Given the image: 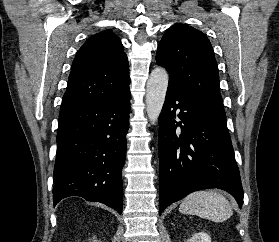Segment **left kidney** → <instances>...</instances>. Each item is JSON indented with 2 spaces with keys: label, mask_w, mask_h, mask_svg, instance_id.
Listing matches in <instances>:
<instances>
[{
  "label": "left kidney",
  "mask_w": 279,
  "mask_h": 242,
  "mask_svg": "<svg viewBox=\"0 0 279 242\" xmlns=\"http://www.w3.org/2000/svg\"><path fill=\"white\" fill-rule=\"evenodd\" d=\"M187 242H211V238L207 233L200 232L194 234Z\"/></svg>",
  "instance_id": "1"
}]
</instances>
